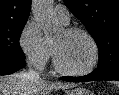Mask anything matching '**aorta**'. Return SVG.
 <instances>
[{
	"mask_svg": "<svg viewBox=\"0 0 119 95\" xmlns=\"http://www.w3.org/2000/svg\"><path fill=\"white\" fill-rule=\"evenodd\" d=\"M53 4L54 0H34L32 3L33 16L47 39L54 37L62 29V25L54 18Z\"/></svg>",
	"mask_w": 119,
	"mask_h": 95,
	"instance_id": "obj_1",
	"label": "aorta"
}]
</instances>
